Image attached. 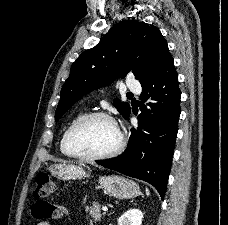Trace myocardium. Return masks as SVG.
<instances>
[{
	"mask_svg": "<svg viewBox=\"0 0 228 225\" xmlns=\"http://www.w3.org/2000/svg\"><path fill=\"white\" fill-rule=\"evenodd\" d=\"M96 118L107 120L114 125V127L117 130L118 138H119L117 146L106 153L98 154V155L83 154L76 151L73 148V144H72L74 134L83 124ZM65 146H66L67 152L70 154V156L74 158H79L84 160H103V159L111 158L118 155L125 147V139L116 121L110 115L103 112H91V113H86L82 115L70 126L66 134Z\"/></svg>",
	"mask_w": 228,
	"mask_h": 225,
	"instance_id": "f54148a6",
	"label": "myocardium"
}]
</instances>
